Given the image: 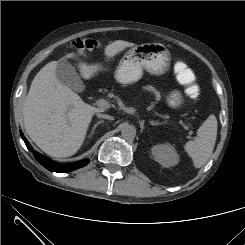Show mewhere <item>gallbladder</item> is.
Instances as JSON below:
<instances>
[{
  "label": "gallbladder",
  "instance_id": "1",
  "mask_svg": "<svg viewBox=\"0 0 245 245\" xmlns=\"http://www.w3.org/2000/svg\"><path fill=\"white\" fill-rule=\"evenodd\" d=\"M56 77L62 84L74 91L82 92L85 88L75 67L69 62L64 61L58 63L56 67Z\"/></svg>",
  "mask_w": 245,
  "mask_h": 245
}]
</instances>
